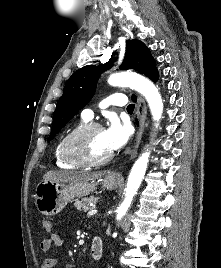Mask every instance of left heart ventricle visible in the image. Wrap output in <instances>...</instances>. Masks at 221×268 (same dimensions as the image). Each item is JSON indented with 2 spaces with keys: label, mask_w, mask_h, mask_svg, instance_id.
I'll list each match as a JSON object with an SVG mask.
<instances>
[{
  "label": "left heart ventricle",
  "mask_w": 221,
  "mask_h": 268,
  "mask_svg": "<svg viewBox=\"0 0 221 268\" xmlns=\"http://www.w3.org/2000/svg\"><path fill=\"white\" fill-rule=\"evenodd\" d=\"M83 147L86 153L94 158H102L111 153L105 141L104 131L101 129L91 132L84 139Z\"/></svg>",
  "instance_id": "1"
}]
</instances>
